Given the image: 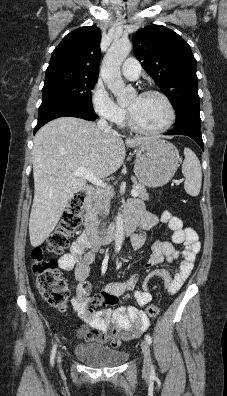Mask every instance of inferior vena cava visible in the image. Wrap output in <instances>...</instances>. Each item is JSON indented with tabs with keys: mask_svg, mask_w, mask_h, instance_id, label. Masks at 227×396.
I'll list each match as a JSON object with an SVG mask.
<instances>
[{
	"mask_svg": "<svg viewBox=\"0 0 227 396\" xmlns=\"http://www.w3.org/2000/svg\"><path fill=\"white\" fill-rule=\"evenodd\" d=\"M98 128L103 130V131H112L111 127L108 125L107 121L105 119H100L98 121ZM103 211L104 215L109 214V198L108 195H105L103 197Z\"/></svg>",
	"mask_w": 227,
	"mask_h": 396,
	"instance_id": "obj_1",
	"label": "inferior vena cava"
}]
</instances>
